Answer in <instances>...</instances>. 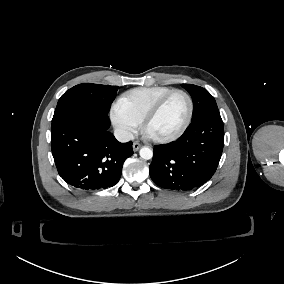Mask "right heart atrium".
<instances>
[{
	"instance_id": "right-heart-atrium-1",
	"label": "right heart atrium",
	"mask_w": 284,
	"mask_h": 284,
	"mask_svg": "<svg viewBox=\"0 0 284 284\" xmlns=\"http://www.w3.org/2000/svg\"><path fill=\"white\" fill-rule=\"evenodd\" d=\"M110 119L115 131L125 140L134 138L139 131L138 122L131 116L119 112L115 107L110 111Z\"/></svg>"
}]
</instances>
